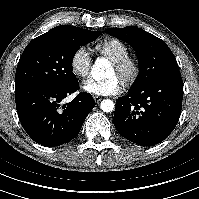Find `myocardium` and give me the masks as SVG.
<instances>
[{
    "label": "myocardium",
    "mask_w": 199,
    "mask_h": 199,
    "mask_svg": "<svg viewBox=\"0 0 199 199\" xmlns=\"http://www.w3.org/2000/svg\"><path fill=\"white\" fill-rule=\"evenodd\" d=\"M113 67L119 77L126 84L133 83L138 77L140 71L138 60L130 55H126L123 58L113 62Z\"/></svg>",
    "instance_id": "1"
}]
</instances>
